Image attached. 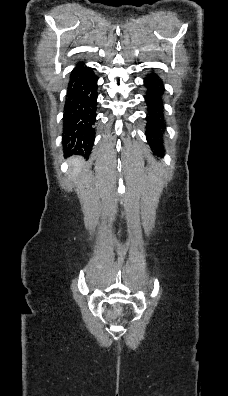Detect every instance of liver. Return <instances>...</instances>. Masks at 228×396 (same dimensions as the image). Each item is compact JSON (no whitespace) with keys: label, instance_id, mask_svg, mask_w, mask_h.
Here are the masks:
<instances>
[{"label":"liver","instance_id":"1","mask_svg":"<svg viewBox=\"0 0 228 396\" xmlns=\"http://www.w3.org/2000/svg\"><path fill=\"white\" fill-rule=\"evenodd\" d=\"M72 166L74 167V170L72 172V176L78 175V173L81 171V167L83 165V159L80 157H73L70 160Z\"/></svg>","mask_w":228,"mask_h":396}]
</instances>
